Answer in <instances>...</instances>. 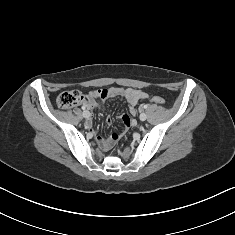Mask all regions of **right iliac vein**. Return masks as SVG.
I'll use <instances>...</instances> for the list:
<instances>
[{
    "label": "right iliac vein",
    "instance_id": "1",
    "mask_svg": "<svg viewBox=\"0 0 235 235\" xmlns=\"http://www.w3.org/2000/svg\"><path fill=\"white\" fill-rule=\"evenodd\" d=\"M83 116H84V118H89L90 117V113L89 112H85V113H83Z\"/></svg>",
    "mask_w": 235,
    "mask_h": 235
}]
</instances>
